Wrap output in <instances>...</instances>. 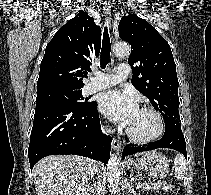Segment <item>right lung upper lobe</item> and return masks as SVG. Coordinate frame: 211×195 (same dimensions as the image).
Returning <instances> with one entry per match:
<instances>
[{"label":"right lung upper lobe","mask_w":211,"mask_h":195,"mask_svg":"<svg viewBox=\"0 0 211 195\" xmlns=\"http://www.w3.org/2000/svg\"><path fill=\"white\" fill-rule=\"evenodd\" d=\"M101 47V28L86 12H79L47 44L40 66L37 93L78 89Z\"/></svg>","instance_id":"1"}]
</instances>
